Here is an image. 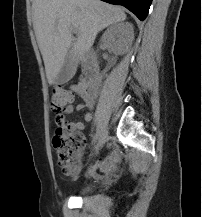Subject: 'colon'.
Listing matches in <instances>:
<instances>
[{"label":"colon","instance_id":"colon-1","mask_svg":"<svg viewBox=\"0 0 202 217\" xmlns=\"http://www.w3.org/2000/svg\"><path fill=\"white\" fill-rule=\"evenodd\" d=\"M74 100V94L65 89H54L51 93L50 107L58 115L53 146L60 168L70 176L80 170L81 154L86 144L83 132L73 128L62 115L67 108L73 105Z\"/></svg>","mask_w":202,"mask_h":217}]
</instances>
